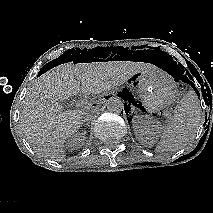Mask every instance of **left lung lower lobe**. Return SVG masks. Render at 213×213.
<instances>
[{"label": "left lung lower lobe", "instance_id": "obj_1", "mask_svg": "<svg viewBox=\"0 0 213 213\" xmlns=\"http://www.w3.org/2000/svg\"><path fill=\"white\" fill-rule=\"evenodd\" d=\"M194 90H195V88H194ZM128 93L129 92H127V91H125V90H123L122 92H120L119 94H118V96L119 97H122V99L125 101V100H128L129 98H128ZM197 93V95L199 94L198 92H196ZM129 101V100H128ZM125 106V105H124ZM122 112H123V110H122ZM121 112V113H122Z\"/></svg>", "mask_w": 213, "mask_h": 213}]
</instances>
